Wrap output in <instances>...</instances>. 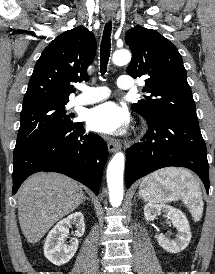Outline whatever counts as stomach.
<instances>
[{
    "label": "stomach",
    "instance_id": "stomach-1",
    "mask_svg": "<svg viewBox=\"0 0 215 274\" xmlns=\"http://www.w3.org/2000/svg\"><path fill=\"white\" fill-rule=\"evenodd\" d=\"M142 190H143V188L139 189V194L144 200H146L147 197H146L145 193Z\"/></svg>",
    "mask_w": 215,
    "mask_h": 274
}]
</instances>
